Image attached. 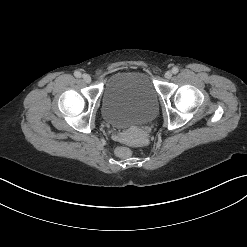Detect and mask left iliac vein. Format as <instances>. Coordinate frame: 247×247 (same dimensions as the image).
<instances>
[{"mask_svg": "<svg viewBox=\"0 0 247 247\" xmlns=\"http://www.w3.org/2000/svg\"><path fill=\"white\" fill-rule=\"evenodd\" d=\"M172 77V72L171 71H167L166 73H165V78L166 79H170Z\"/></svg>", "mask_w": 247, "mask_h": 247, "instance_id": "1", "label": "left iliac vein"}]
</instances>
